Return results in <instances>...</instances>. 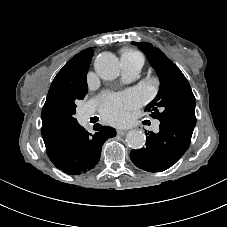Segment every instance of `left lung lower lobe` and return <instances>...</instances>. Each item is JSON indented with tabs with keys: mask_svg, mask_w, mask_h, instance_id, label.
<instances>
[{
	"mask_svg": "<svg viewBox=\"0 0 227 227\" xmlns=\"http://www.w3.org/2000/svg\"><path fill=\"white\" fill-rule=\"evenodd\" d=\"M159 121L160 131L148 132L146 147L130 152L132 162L149 172H162L174 165L188 149L195 127L174 119Z\"/></svg>",
	"mask_w": 227,
	"mask_h": 227,
	"instance_id": "obj_1",
	"label": "left lung lower lobe"
}]
</instances>
